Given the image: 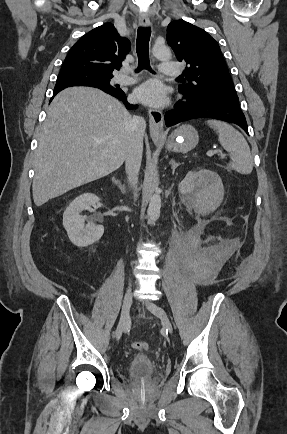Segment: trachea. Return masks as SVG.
<instances>
[{"label": "trachea", "instance_id": "obj_1", "mask_svg": "<svg viewBox=\"0 0 287 434\" xmlns=\"http://www.w3.org/2000/svg\"><path fill=\"white\" fill-rule=\"evenodd\" d=\"M151 36L150 27H139L137 31L136 52L138 56L137 72L142 69L151 70L149 63V41Z\"/></svg>", "mask_w": 287, "mask_h": 434}]
</instances>
